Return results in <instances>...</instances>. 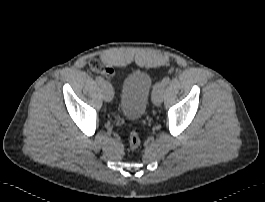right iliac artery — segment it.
<instances>
[{"label":"right iliac artery","mask_w":265,"mask_h":202,"mask_svg":"<svg viewBox=\"0 0 265 202\" xmlns=\"http://www.w3.org/2000/svg\"><path fill=\"white\" fill-rule=\"evenodd\" d=\"M95 80L101 86L105 83L104 79L100 76H96Z\"/></svg>","instance_id":"right-iliac-artery-1"}]
</instances>
